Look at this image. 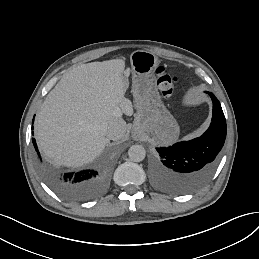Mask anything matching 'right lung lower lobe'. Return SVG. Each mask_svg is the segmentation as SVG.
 Instances as JSON below:
<instances>
[{"mask_svg":"<svg viewBox=\"0 0 259 259\" xmlns=\"http://www.w3.org/2000/svg\"><path fill=\"white\" fill-rule=\"evenodd\" d=\"M32 142L41 158L34 138ZM40 168L50 185L59 194L71 200H87L98 196L104 191L108 180L107 173L102 170L87 169L58 173L57 170L43 165Z\"/></svg>","mask_w":259,"mask_h":259,"instance_id":"right-lung-lower-lobe-1","label":"right lung lower lobe"}]
</instances>
